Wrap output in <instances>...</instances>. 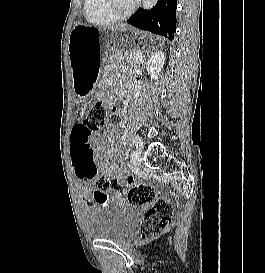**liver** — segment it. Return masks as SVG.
Instances as JSON below:
<instances>
[{
	"instance_id": "obj_1",
	"label": "liver",
	"mask_w": 265,
	"mask_h": 273,
	"mask_svg": "<svg viewBox=\"0 0 265 273\" xmlns=\"http://www.w3.org/2000/svg\"><path fill=\"white\" fill-rule=\"evenodd\" d=\"M117 27H126V25H121V26H117Z\"/></svg>"
}]
</instances>
